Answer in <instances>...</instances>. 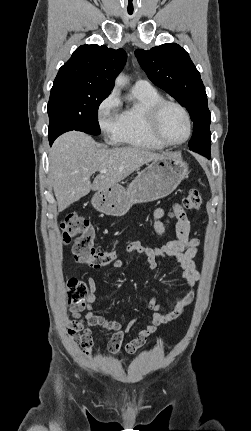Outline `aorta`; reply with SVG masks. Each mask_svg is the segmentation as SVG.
Wrapping results in <instances>:
<instances>
[{"label":"aorta","instance_id":"762f6f07","mask_svg":"<svg viewBox=\"0 0 251 431\" xmlns=\"http://www.w3.org/2000/svg\"><path fill=\"white\" fill-rule=\"evenodd\" d=\"M127 83V80L123 74H120L115 81L117 86H124Z\"/></svg>","mask_w":251,"mask_h":431}]
</instances>
